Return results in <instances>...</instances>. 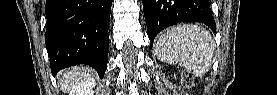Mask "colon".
I'll list each match as a JSON object with an SVG mask.
<instances>
[{
	"label": "colon",
	"mask_w": 277,
	"mask_h": 95,
	"mask_svg": "<svg viewBox=\"0 0 277 95\" xmlns=\"http://www.w3.org/2000/svg\"><path fill=\"white\" fill-rule=\"evenodd\" d=\"M181 81L183 86L187 89H191L194 85V77L187 71L182 74Z\"/></svg>",
	"instance_id": "obj_1"
}]
</instances>
